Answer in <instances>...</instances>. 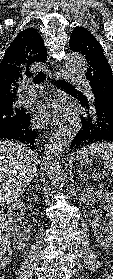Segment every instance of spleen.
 Wrapping results in <instances>:
<instances>
[{
  "label": "spleen",
  "mask_w": 113,
  "mask_h": 279,
  "mask_svg": "<svg viewBox=\"0 0 113 279\" xmlns=\"http://www.w3.org/2000/svg\"><path fill=\"white\" fill-rule=\"evenodd\" d=\"M86 151H94L102 158L105 166L113 175V143L97 142L84 148Z\"/></svg>",
  "instance_id": "1"
}]
</instances>
